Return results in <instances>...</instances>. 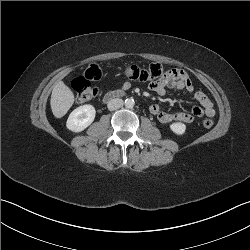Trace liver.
I'll return each instance as SVG.
<instances>
[{
  "instance_id": "6515ba94",
  "label": "liver",
  "mask_w": 250,
  "mask_h": 250,
  "mask_svg": "<svg viewBox=\"0 0 250 250\" xmlns=\"http://www.w3.org/2000/svg\"><path fill=\"white\" fill-rule=\"evenodd\" d=\"M74 94L63 81H59L53 88L50 105L53 115L62 118L74 103Z\"/></svg>"
}]
</instances>
